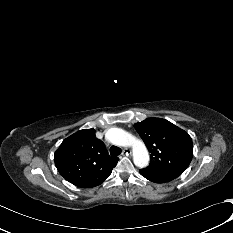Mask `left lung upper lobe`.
<instances>
[{
	"instance_id": "left-lung-upper-lobe-1",
	"label": "left lung upper lobe",
	"mask_w": 233,
	"mask_h": 233,
	"mask_svg": "<svg viewBox=\"0 0 233 233\" xmlns=\"http://www.w3.org/2000/svg\"><path fill=\"white\" fill-rule=\"evenodd\" d=\"M134 127L151 153L150 164L142 172L169 182L186 170L193 156L192 139L186 131L161 118H148Z\"/></svg>"
}]
</instances>
